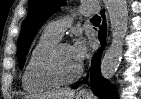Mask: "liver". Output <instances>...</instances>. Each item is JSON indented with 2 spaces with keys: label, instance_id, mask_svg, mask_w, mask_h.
<instances>
[{
  "label": "liver",
  "instance_id": "liver-1",
  "mask_svg": "<svg viewBox=\"0 0 141 99\" xmlns=\"http://www.w3.org/2000/svg\"><path fill=\"white\" fill-rule=\"evenodd\" d=\"M74 96V90H58L36 96H25L23 99H74Z\"/></svg>",
  "mask_w": 141,
  "mask_h": 99
}]
</instances>
